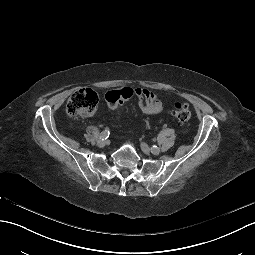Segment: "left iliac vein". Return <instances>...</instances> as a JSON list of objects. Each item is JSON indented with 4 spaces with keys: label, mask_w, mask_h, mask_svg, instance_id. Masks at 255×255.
I'll use <instances>...</instances> for the list:
<instances>
[{
    "label": "left iliac vein",
    "mask_w": 255,
    "mask_h": 255,
    "mask_svg": "<svg viewBox=\"0 0 255 255\" xmlns=\"http://www.w3.org/2000/svg\"><path fill=\"white\" fill-rule=\"evenodd\" d=\"M141 149H142V151H143L145 154H149L150 151L153 152V154H155V155H157V154L160 153V149H159V148H157L156 150L152 151V150L149 148V146H148L146 143H144V142L141 143Z\"/></svg>",
    "instance_id": "left-iliac-vein-1"
}]
</instances>
